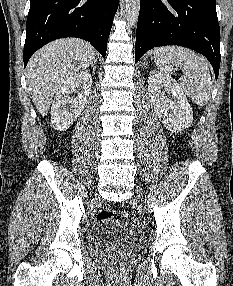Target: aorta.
Instances as JSON below:
<instances>
[{
	"mask_svg": "<svg viewBox=\"0 0 233 286\" xmlns=\"http://www.w3.org/2000/svg\"><path fill=\"white\" fill-rule=\"evenodd\" d=\"M125 11L128 26H135L140 11V0H125Z\"/></svg>",
	"mask_w": 233,
	"mask_h": 286,
	"instance_id": "aorta-1",
	"label": "aorta"
}]
</instances>
